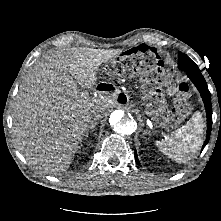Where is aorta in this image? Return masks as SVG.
I'll return each mask as SVG.
<instances>
[{
	"instance_id": "1",
	"label": "aorta",
	"mask_w": 221,
	"mask_h": 221,
	"mask_svg": "<svg viewBox=\"0 0 221 221\" xmlns=\"http://www.w3.org/2000/svg\"><path fill=\"white\" fill-rule=\"evenodd\" d=\"M112 130L120 136H129L137 129L136 118L123 110H117L110 116Z\"/></svg>"
}]
</instances>
